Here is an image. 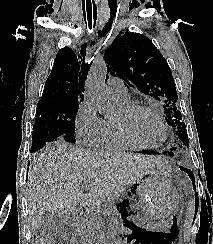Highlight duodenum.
Instances as JSON below:
<instances>
[{
  "instance_id": "1",
  "label": "duodenum",
  "mask_w": 213,
  "mask_h": 244,
  "mask_svg": "<svg viewBox=\"0 0 213 244\" xmlns=\"http://www.w3.org/2000/svg\"><path fill=\"white\" fill-rule=\"evenodd\" d=\"M70 219H71L72 221H76V220H77V215H76V214L71 215V216H70ZM103 244H104V241H103Z\"/></svg>"
}]
</instances>
